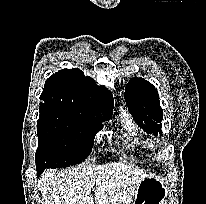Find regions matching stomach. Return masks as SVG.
Returning a JSON list of instances; mask_svg holds the SVG:
<instances>
[{"mask_svg":"<svg viewBox=\"0 0 206 204\" xmlns=\"http://www.w3.org/2000/svg\"><path fill=\"white\" fill-rule=\"evenodd\" d=\"M169 188L157 176L145 177L139 184L131 204H166Z\"/></svg>","mask_w":206,"mask_h":204,"instance_id":"0dacf381","label":"stomach"}]
</instances>
